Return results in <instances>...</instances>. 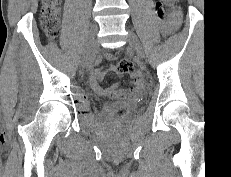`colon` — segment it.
Masks as SVG:
<instances>
[{"mask_svg":"<svg viewBox=\"0 0 231 177\" xmlns=\"http://www.w3.org/2000/svg\"><path fill=\"white\" fill-rule=\"evenodd\" d=\"M167 3H172L174 0H164ZM61 0H41V26L46 36L53 40L57 37L60 27V5ZM158 15L161 20H165V14L158 6ZM176 19L177 16L175 17ZM118 71L121 73H130L133 71V64L129 59L123 58L118 62ZM125 113L124 109L117 111V115L121 116Z\"/></svg>","mask_w":231,"mask_h":177,"instance_id":"1","label":"colon"}]
</instances>
